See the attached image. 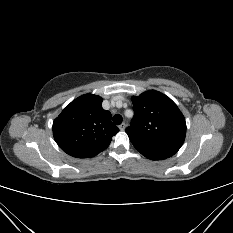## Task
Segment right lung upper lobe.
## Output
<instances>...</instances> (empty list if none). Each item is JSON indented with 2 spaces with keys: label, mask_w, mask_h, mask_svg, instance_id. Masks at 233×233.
<instances>
[{
  "label": "right lung upper lobe",
  "mask_w": 233,
  "mask_h": 233,
  "mask_svg": "<svg viewBox=\"0 0 233 233\" xmlns=\"http://www.w3.org/2000/svg\"><path fill=\"white\" fill-rule=\"evenodd\" d=\"M102 100L93 94L82 95L54 120V139L70 156L88 158L99 154L119 131L111 122V113L102 108Z\"/></svg>",
  "instance_id": "cb5924a9"
}]
</instances>
